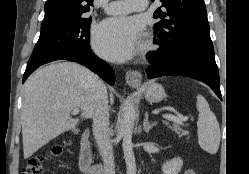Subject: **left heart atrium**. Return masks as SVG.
<instances>
[{"label":"left heart atrium","mask_w":249,"mask_h":174,"mask_svg":"<svg viewBox=\"0 0 249 174\" xmlns=\"http://www.w3.org/2000/svg\"><path fill=\"white\" fill-rule=\"evenodd\" d=\"M143 34L142 22L136 17H114L104 20L95 30L96 51L112 61L132 58Z\"/></svg>","instance_id":"39dd6f15"}]
</instances>
